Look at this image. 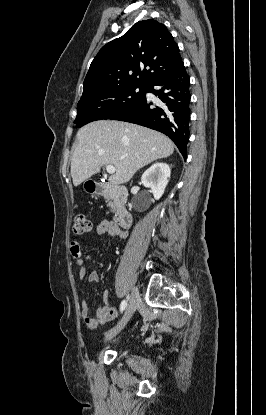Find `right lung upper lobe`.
<instances>
[{
    "instance_id": "cb5924a9",
    "label": "right lung upper lobe",
    "mask_w": 266,
    "mask_h": 415,
    "mask_svg": "<svg viewBox=\"0 0 266 415\" xmlns=\"http://www.w3.org/2000/svg\"><path fill=\"white\" fill-rule=\"evenodd\" d=\"M183 66L179 48L166 26L143 20L103 46L83 84L82 98L120 87H148Z\"/></svg>"
}]
</instances>
